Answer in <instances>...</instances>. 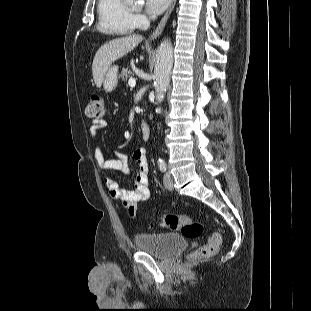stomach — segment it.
Returning a JSON list of instances; mask_svg holds the SVG:
<instances>
[{"label":"stomach","instance_id":"obj_1","mask_svg":"<svg viewBox=\"0 0 311 311\" xmlns=\"http://www.w3.org/2000/svg\"><path fill=\"white\" fill-rule=\"evenodd\" d=\"M118 67L113 65L107 70L103 79V88L106 92L113 91L118 84Z\"/></svg>","mask_w":311,"mask_h":311}]
</instances>
